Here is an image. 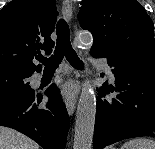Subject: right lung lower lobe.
<instances>
[{"label":"right lung lower lobe","mask_w":155,"mask_h":149,"mask_svg":"<svg viewBox=\"0 0 155 149\" xmlns=\"http://www.w3.org/2000/svg\"><path fill=\"white\" fill-rule=\"evenodd\" d=\"M45 94L47 109H39L42 98L31 95L24 98H0V126L18 130L36 141L44 149H65L69 117L56 85Z\"/></svg>","instance_id":"obj_1"}]
</instances>
